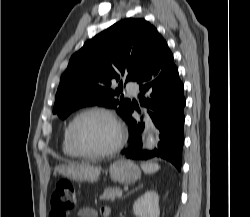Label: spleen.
<instances>
[{
    "mask_svg": "<svg viewBox=\"0 0 250 217\" xmlns=\"http://www.w3.org/2000/svg\"><path fill=\"white\" fill-rule=\"evenodd\" d=\"M141 167H142L143 171L147 174L155 173L160 169V166L154 162L142 163Z\"/></svg>",
    "mask_w": 250,
    "mask_h": 217,
    "instance_id": "spleen-1",
    "label": "spleen"
}]
</instances>
